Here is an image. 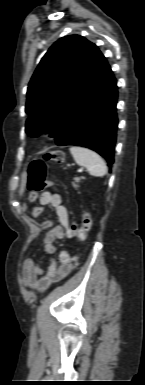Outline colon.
<instances>
[{
	"label": "colon",
	"mask_w": 145,
	"mask_h": 385,
	"mask_svg": "<svg viewBox=\"0 0 145 385\" xmlns=\"http://www.w3.org/2000/svg\"><path fill=\"white\" fill-rule=\"evenodd\" d=\"M64 161V153L61 151H49L43 155L41 159L34 160L30 163L27 171V189L31 200H36L38 193L46 186V175L48 165L50 163L60 164ZM91 215L85 211L82 214V220L79 225H74L73 235L80 242H84L87 234L91 228ZM71 264L76 267L78 258L76 256L71 258Z\"/></svg>",
	"instance_id": "5ec220e1"
}]
</instances>
